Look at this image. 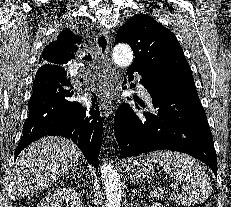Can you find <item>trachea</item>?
Here are the masks:
<instances>
[{"label": "trachea", "instance_id": "1", "mask_svg": "<svg viewBox=\"0 0 231 207\" xmlns=\"http://www.w3.org/2000/svg\"><path fill=\"white\" fill-rule=\"evenodd\" d=\"M85 61H89V62H92V57L91 56H87L84 58Z\"/></svg>", "mask_w": 231, "mask_h": 207}]
</instances>
